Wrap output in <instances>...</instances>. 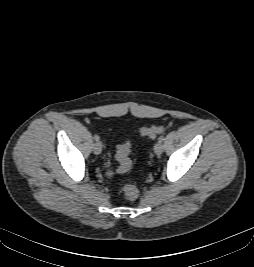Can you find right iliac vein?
Listing matches in <instances>:
<instances>
[{"instance_id":"obj_1","label":"right iliac vein","mask_w":254,"mask_h":267,"mask_svg":"<svg viewBox=\"0 0 254 267\" xmlns=\"http://www.w3.org/2000/svg\"><path fill=\"white\" fill-rule=\"evenodd\" d=\"M93 151L96 155H99L101 152H102V144L101 142H96L94 145H93Z\"/></svg>"}]
</instances>
